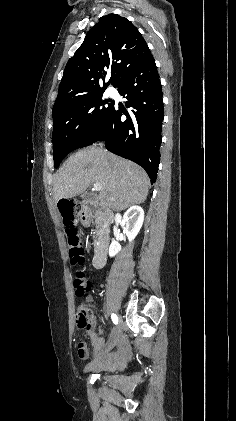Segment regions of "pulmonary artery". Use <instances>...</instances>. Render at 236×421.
I'll use <instances>...</instances> for the list:
<instances>
[{
	"label": "pulmonary artery",
	"mask_w": 236,
	"mask_h": 421,
	"mask_svg": "<svg viewBox=\"0 0 236 421\" xmlns=\"http://www.w3.org/2000/svg\"><path fill=\"white\" fill-rule=\"evenodd\" d=\"M105 95H106V96H114V95H115V93H114L112 90L108 89V90L105 92Z\"/></svg>",
	"instance_id": "1"
}]
</instances>
